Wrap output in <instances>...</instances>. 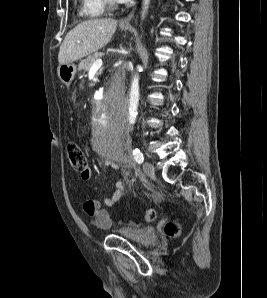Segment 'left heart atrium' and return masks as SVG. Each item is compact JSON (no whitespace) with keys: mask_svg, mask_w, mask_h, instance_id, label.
Listing matches in <instances>:
<instances>
[{"mask_svg":"<svg viewBox=\"0 0 267 298\" xmlns=\"http://www.w3.org/2000/svg\"><path fill=\"white\" fill-rule=\"evenodd\" d=\"M117 1H119V2H127L129 0H117Z\"/></svg>","mask_w":267,"mask_h":298,"instance_id":"left-heart-atrium-1","label":"left heart atrium"}]
</instances>
